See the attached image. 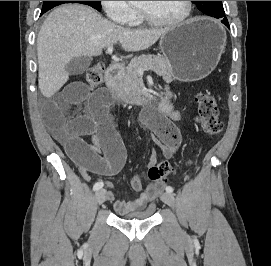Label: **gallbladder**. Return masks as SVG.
I'll return each mask as SVG.
<instances>
[{
    "label": "gallbladder",
    "instance_id": "bac80fb5",
    "mask_svg": "<svg viewBox=\"0 0 271 266\" xmlns=\"http://www.w3.org/2000/svg\"><path fill=\"white\" fill-rule=\"evenodd\" d=\"M91 61L87 56L76 57L66 65V70L69 75H81L88 69Z\"/></svg>",
    "mask_w": 271,
    "mask_h": 266
}]
</instances>
